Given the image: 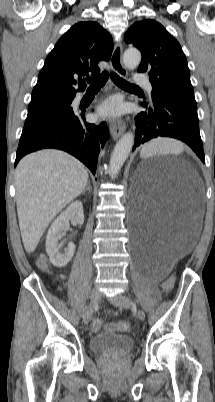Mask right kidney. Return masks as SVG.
Masks as SVG:
<instances>
[{
  "instance_id": "right-kidney-1",
  "label": "right kidney",
  "mask_w": 215,
  "mask_h": 402,
  "mask_svg": "<svg viewBox=\"0 0 215 402\" xmlns=\"http://www.w3.org/2000/svg\"><path fill=\"white\" fill-rule=\"evenodd\" d=\"M73 220L79 225L84 222L83 205L80 201L72 202L67 209L62 212L51 224L46 237V252L50 262L56 267H65L72 259L75 252L73 242L68 243L67 247L61 251L62 244L59 241L63 232Z\"/></svg>"
}]
</instances>
